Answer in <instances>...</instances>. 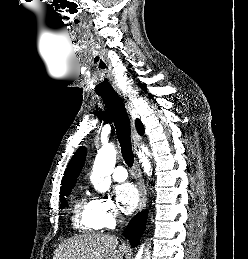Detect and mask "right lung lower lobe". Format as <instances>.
I'll list each match as a JSON object with an SVG mask.
<instances>
[{"instance_id":"right-lung-lower-lobe-1","label":"right lung lower lobe","mask_w":248,"mask_h":259,"mask_svg":"<svg viewBox=\"0 0 248 259\" xmlns=\"http://www.w3.org/2000/svg\"><path fill=\"white\" fill-rule=\"evenodd\" d=\"M147 219V211H143L132 218L124 231L125 237L130 241L133 247L139 244L140 238L144 232Z\"/></svg>"}]
</instances>
